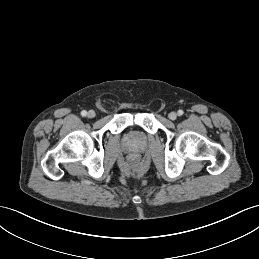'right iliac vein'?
I'll list each match as a JSON object with an SVG mask.
<instances>
[{
  "label": "right iliac vein",
  "mask_w": 259,
  "mask_h": 259,
  "mask_svg": "<svg viewBox=\"0 0 259 259\" xmlns=\"http://www.w3.org/2000/svg\"><path fill=\"white\" fill-rule=\"evenodd\" d=\"M95 115H96V114H95V112H94L93 110H90V111L88 112V114H87L88 118H90V119L94 118Z\"/></svg>",
  "instance_id": "63e3f726"
}]
</instances>
